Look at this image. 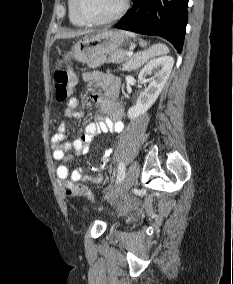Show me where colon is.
I'll return each instance as SVG.
<instances>
[{
  "label": "colon",
  "mask_w": 233,
  "mask_h": 284,
  "mask_svg": "<svg viewBox=\"0 0 233 284\" xmlns=\"http://www.w3.org/2000/svg\"><path fill=\"white\" fill-rule=\"evenodd\" d=\"M168 52V48L164 44H155L144 52L137 53L125 64L126 69H136L144 65L149 60L164 56ZM65 56L58 57L55 72V98L59 103L66 101L74 91L77 83L75 73L65 67ZM67 194L73 196H81L90 200H94V194L91 189L85 185H78L67 190Z\"/></svg>",
  "instance_id": "5ec220e1"
}]
</instances>
